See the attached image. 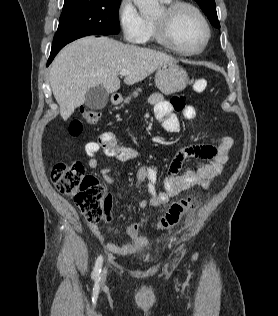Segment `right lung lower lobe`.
Here are the masks:
<instances>
[{
    "mask_svg": "<svg viewBox=\"0 0 278 316\" xmlns=\"http://www.w3.org/2000/svg\"><path fill=\"white\" fill-rule=\"evenodd\" d=\"M65 45L63 46H60L58 48H52L51 49V53H50V57H49V60H48V63H47V66L52 62V60L54 59V57L56 56V54L59 52V50L64 47Z\"/></svg>",
    "mask_w": 278,
    "mask_h": 316,
    "instance_id": "98d812e1",
    "label": "right lung lower lobe"
}]
</instances>
